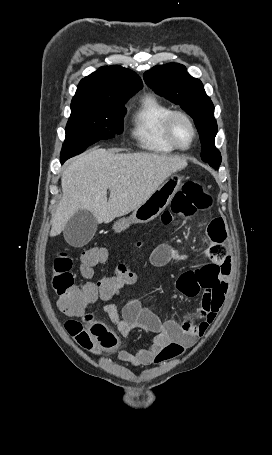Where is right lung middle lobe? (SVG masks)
I'll use <instances>...</instances> for the list:
<instances>
[{
	"mask_svg": "<svg viewBox=\"0 0 272 455\" xmlns=\"http://www.w3.org/2000/svg\"><path fill=\"white\" fill-rule=\"evenodd\" d=\"M124 104L113 107L71 106L61 161L80 154L99 140L121 134L126 112Z\"/></svg>",
	"mask_w": 272,
	"mask_h": 455,
	"instance_id": "right-lung-middle-lobe-1",
	"label": "right lung middle lobe"
}]
</instances>
